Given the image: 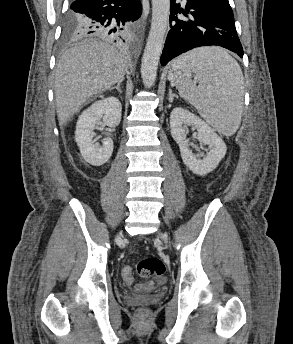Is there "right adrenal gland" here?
I'll return each mask as SVG.
<instances>
[{
    "mask_svg": "<svg viewBox=\"0 0 293 344\" xmlns=\"http://www.w3.org/2000/svg\"><path fill=\"white\" fill-rule=\"evenodd\" d=\"M121 83H122V81H120L119 83H117L116 87L111 88L110 91L116 89L119 93H122V90H121V88H120Z\"/></svg>",
    "mask_w": 293,
    "mask_h": 344,
    "instance_id": "obj_1",
    "label": "right adrenal gland"
}]
</instances>
